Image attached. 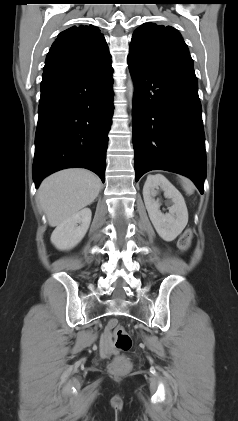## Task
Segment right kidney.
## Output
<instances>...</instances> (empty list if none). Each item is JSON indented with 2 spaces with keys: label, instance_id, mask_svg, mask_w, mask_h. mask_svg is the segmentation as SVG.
<instances>
[{
  "label": "right kidney",
  "instance_id": "1",
  "mask_svg": "<svg viewBox=\"0 0 238 421\" xmlns=\"http://www.w3.org/2000/svg\"><path fill=\"white\" fill-rule=\"evenodd\" d=\"M91 210L84 208L59 224L51 235L52 244L59 250H70L85 236L90 222Z\"/></svg>",
  "mask_w": 238,
  "mask_h": 421
}]
</instances>
